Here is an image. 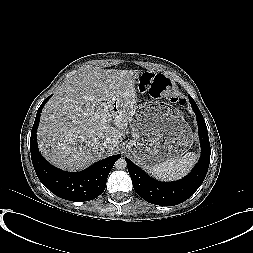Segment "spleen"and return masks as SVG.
<instances>
[{"instance_id":"obj_1","label":"spleen","mask_w":253,"mask_h":253,"mask_svg":"<svg viewBox=\"0 0 253 253\" xmlns=\"http://www.w3.org/2000/svg\"><path fill=\"white\" fill-rule=\"evenodd\" d=\"M197 161V155L193 152H188L185 155L161 162L147 168L148 173L160 179H177L184 176Z\"/></svg>"}]
</instances>
